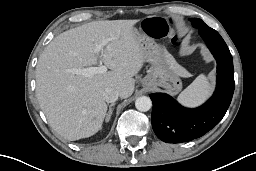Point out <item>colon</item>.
I'll list each match as a JSON object with an SVG mask.
<instances>
[{
  "label": "colon",
  "mask_w": 256,
  "mask_h": 171,
  "mask_svg": "<svg viewBox=\"0 0 256 171\" xmlns=\"http://www.w3.org/2000/svg\"><path fill=\"white\" fill-rule=\"evenodd\" d=\"M145 30L147 33L155 39H162L171 36V27L168 22L160 18H151L145 22ZM172 41L178 44L180 39L173 37Z\"/></svg>",
  "instance_id": "obj_1"
}]
</instances>
